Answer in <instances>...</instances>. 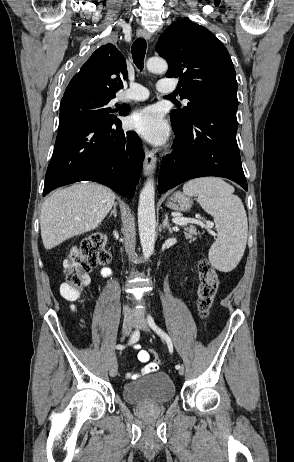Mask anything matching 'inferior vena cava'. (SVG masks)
<instances>
[{
	"label": "inferior vena cava",
	"mask_w": 294,
	"mask_h": 462,
	"mask_svg": "<svg viewBox=\"0 0 294 462\" xmlns=\"http://www.w3.org/2000/svg\"><path fill=\"white\" fill-rule=\"evenodd\" d=\"M130 311H131V310H130V308H129L128 306H125V307H124V312H125V314H126V313H129Z\"/></svg>",
	"instance_id": "602c4592"
}]
</instances>
